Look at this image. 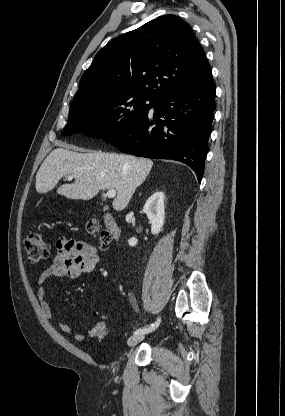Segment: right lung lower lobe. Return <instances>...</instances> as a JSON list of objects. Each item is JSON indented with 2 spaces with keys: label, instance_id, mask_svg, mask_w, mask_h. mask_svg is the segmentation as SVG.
<instances>
[{
  "label": "right lung lower lobe",
  "instance_id": "1",
  "mask_svg": "<svg viewBox=\"0 0 285 416\" xmlns=\"http://www.w3.org/2000/svg\"><path fill=\"white\" fill-rule=\"evenodd\" d=\"M153 109L154 120L147 115L103 140L135 156L181 161L194 170L200 182L215 110L213 79L171 94Z\"/></svg>",
  "mask_w": 285,
  "mask_h": 416
}]
</instances>
